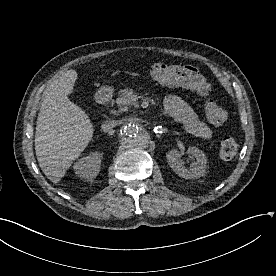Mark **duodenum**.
<instances>
[{
	"instance_id": "duodenum-1",
	"label": "duodenum",
	"mask_w": 276,
	"mask_h": 276,
	"mask_svg": "<svg viewBox=\"0 0 276 276\" xmlns=\"http://www.w3.org/2000/svg\"><path fill=\"white\" fill-rule=\"evenodd\" d=\"M97 103L100 107L108 105L111 99V94L108 91H101L97 95Z\"/></svg>"
}]
</instances>
